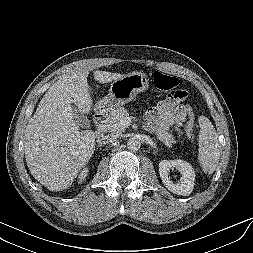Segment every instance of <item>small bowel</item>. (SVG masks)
Listing matches in <instances>:
<instances>
[{
  "instance_id": "small-bowel-1",
  "label": "small bowel",
  "mask_w": 253,
  "mask_h": 253,
  "mask_svg": "<svg viewBox=\"0 0 253 253\" xmlns=\"http://www.w3.org/2000/svg\"><path fill=\"white\" fill-rule=\"evenodd\" d=\"M182 99L167 97L152 107L147 113V119L159 130L165 131L171 127L179 128L187 122L190 110L187 106L179 105Z\"/></svg>"
}]
</instances>
